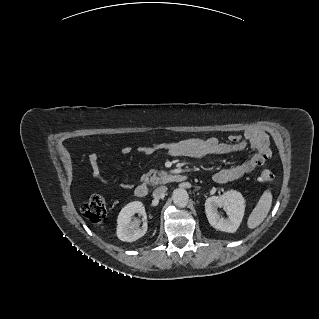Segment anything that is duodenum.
Listing matches in <instances>:
<instances>
[{"instance_id": "1", "label": "duodenum", "mask_w": 319, "mask_h": 319, "mask_svg": "<svg viewBox=\"0 0 319 319\" xmlns=\"http://www.w3.org/2000/svg\"><path fill=\"white\" fill-rule=\"evenodd\" d=\"M185 176L181 173H165L161 176L162 182H181ZM149 194V184L147 182L140 183L135 188V195L139 198H145Z\"/></svg>"}]
</instances>
